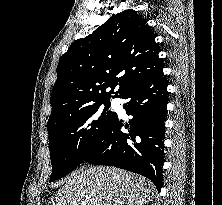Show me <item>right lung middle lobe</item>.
Listing matches in <instances>:
<instances>
[{"label":"right lung middle lobe","instance_id":"right-lung-middle-lobe-1","mask_svg":"<svg viewBox=\"0 0 222 205\" xmlns=\"http://www.w3.org/2000/svg\"><path fill=\"white\" fill-rule=\"evenodd\" d=\"M109 107L110 101H102L47 125L52 164L50 182L67 175L84 160L95 139L116 116Z\"/></svg>","mask_w":222,"mask_h":205}]
</instances>
